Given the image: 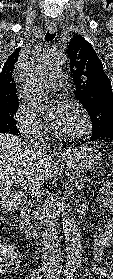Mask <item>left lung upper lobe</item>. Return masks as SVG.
Wrapping results in <instances>:
<instances>
[{"label": "left lung upper lobe", "instance_id": "left-lung-upper-lobe-1", "mask_svg": "<svg viewBox=\"0 0 113 279\" xmlns=\"http://www.w3.org/2000/svg\"><path fill=\"white\" fill-rule=\"evenodd\" d=\"M67 52L76 86L75 96L90 116L92 134L113 129V93L101 60L80 35L73 37Z\"/></svg>", "mask_w": 113, "mask_h": 279}]
</instances>
